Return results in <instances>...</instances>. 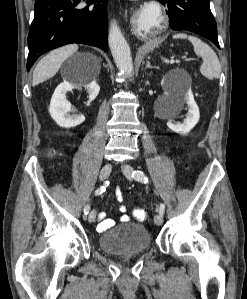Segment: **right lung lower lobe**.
I'll list each match as a JSON object with an SVG mask.
<instances>
[{
    "label": "right lung lower lobe",
    "mask_w": 247,
    "mask_h": 299,
    "mask_svg": "<svg viewBox=\"0 0 247 299\" xmlns=\"http://www.w3.org/2000/svg\"><path fill=\"white\" fill-rule=\"evenodd\" d=\"M87 6H82V3ZM108 0H35L27 70L43 53L70 43L108 51Z\"/></svg>",
    "instance_id": "obj_1"
}]
</instances>
